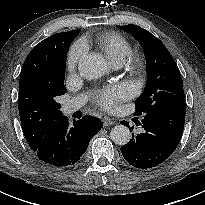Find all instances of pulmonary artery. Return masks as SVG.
<instances>
[{
  "instance_id": "1",
  "label": "pulmonary artery",
  "mask_w": 205,
  "mask_h": 205,
  "mask_svg": "<svg viewBox=\"0 0 205 205\" xmlns=\"http://www.w3.org/2000/svg\"><path fill=\"white\" fill-rule=\"evenodd\" d=\"M120 65L116 64L114 65L115 68H118ZM85 102L84 96H78L71 100H69L67 103L63 106V112L67 115L74 113L78 109H80Z\"/></svg>"
}]
</instances>
